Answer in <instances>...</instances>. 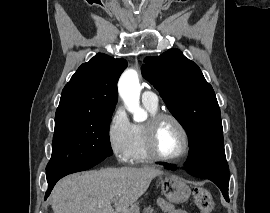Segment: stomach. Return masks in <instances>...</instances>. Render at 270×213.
Listing matches in <instances>:
<instances>
[{
    "label": "stomach",
    "instance_id": "1",
    "mask_svg": "<svg viewBox=\"0 0 270 213\" xmlns=\"http://www.w3.org/2000/svg\"><path fill=\"white\" fill-rule=\"evenodd\" d=\"M160 184L162 194L173 203L184 202L191 194L190 187L185 181L174 175L165 174L161 177ZM127 213H139V209L133 206Z\"/></svg>",
    "mask_w": 270,
    "mask_h": 213
}]
</instances>
